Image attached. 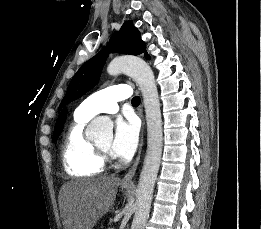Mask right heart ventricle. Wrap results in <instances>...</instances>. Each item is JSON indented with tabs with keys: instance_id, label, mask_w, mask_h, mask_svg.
<instances>
[{
	"instance_id": "1",
	"label": "right heart ventricle",
	"mask_w": 261,
	"mask_h": 229,
	"mask_svg": "<svg viewBox=\"0 0 261 229\" xmlns=\"http://www.w3.org/2000/svg\"><path fill=\"white\" fill-rule=\"evenodd\" d=\"M81 114L85 113L78 106L74 111V122L62 141V161L72 175L93 176L103 171V157L96 144L84 134V126L92 118L81 117Z\"/></svg>"
}]
</instances>
